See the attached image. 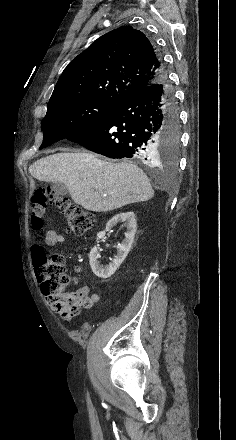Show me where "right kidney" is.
<instances>
[{"instance_id": "right-kidney-1", "label": "right kidney", "mask_w": 236, "mask_h": 440, "mask_svg": "<svg viewBox=\"0 0 236 440\" xmlns=\"http://www.w3.org/2000/svg\"><path fill=\"white\" fill-rule=\"evenodd\" d=\"M120 222H124V226H126L127 230L125 232V238L122 241V243L118 244L116 246L117 248V255L112 260V262L109 265H106L103 267L99 262L100 257V250L96 246L90 251L89 259H90V266L93 271V273L102 279H106L111 277L117 270V268L121 265V263L124 261L126 256L128 255L132 244L134 242V235L137 229V223L135 219V214L133 212H123L115 215L112 217L108 223L106 224V228L104 231H101L97 234V242H99V239L105 236V233L109 230H111L115 225H117Z\"/></svg>"}]
</instances>
